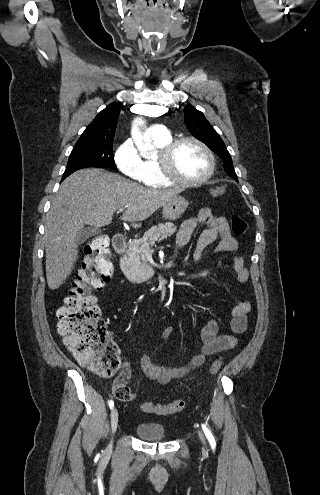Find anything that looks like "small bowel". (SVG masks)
Returning a JSON list of instances; mask_svg holds the SVG:
<instances>
[{
	"label": "small bowel",
	"instance_id": "small-bowel-1",
	"mask_svg": "<svg viewBox=\"0 0 320 495\" xmlns=\"http://www.w3.org/2000/svg\"><path fill=\"white\" fill-rule=\"evenodd\" d=\"M199 224H205L207 228L200 234L197 241L193 258L199 261L203 251L219 239L215 252L234 253L233 269L236 275V281L242 285L248 281V270L244 264V259L238 254L239 242L232 234L228 220L225 217L216 216L210 208H203L200 212L185 220L177 234V245L180 248L185 247L194 230ZM251 309L248 299L239 300L231 311L230 327L232 332L240 334L247 327V314ZM174 329L168 326L163 331V338L170 342L172 340ZM201 347L200 352L191 356L182 366L158 365L153 362L150 356L144 355L140 360V367L144 375L161 384H167L173 379L186 376L189 372L199 368L205 363L207 357L214 354L230 350L236 346L237 339L233 334H219V324L216 319L208 321L201 330ZM130 378V369L125 366L120 372Z\"/></svg>",
	"mask_w": 320,
	"mask_h": 495
}]
</instances>
